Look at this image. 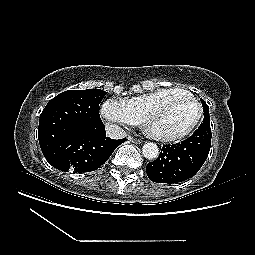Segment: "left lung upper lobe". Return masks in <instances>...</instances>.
<instances>
[{
    "label": "left lung upper lobe",
    "instance_id": "1",
    "mask_svg": "<svg viewBox=\"0 0 255 255\" xmlns=\"http://www.w3.org/2000/svg\"><path fill=\"white\" fill-rule=\"evenodd\" d=\"M200 100L203 105V111H204V117H205V115H209V107L203 99H200Z\"/></svg>",
    "mask_w": 255,
    "mask_h": 255
}]
</instances>
